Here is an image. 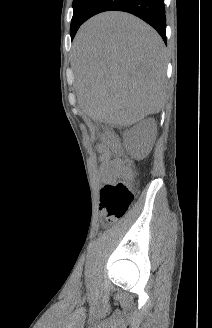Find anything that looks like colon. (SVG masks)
<instances>
[{
    "label": "colon",
    "mask_w": 212,
    "mask_h": 328,
    "mask_svg": "<svg viewBox=\"0 0 212 328\" xmlns=\"http://www.w3.org/2000/svg\"><path fill=\"white\" fill-rule=\"evenodd\" d=\"M104 146L111 148L114 152L122 154V150L116 137L110 133L102 135ZM120 175L124 181L105 185L100 192V210L106 224H111L121 219L135 198V188L132 183L133 167L124 160Z\"/></svg>",
    "instance_id": "1"
}]
</instances>
